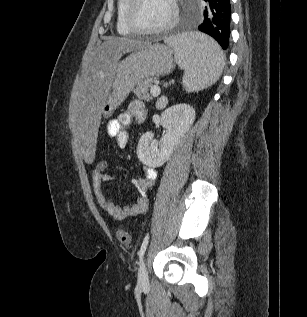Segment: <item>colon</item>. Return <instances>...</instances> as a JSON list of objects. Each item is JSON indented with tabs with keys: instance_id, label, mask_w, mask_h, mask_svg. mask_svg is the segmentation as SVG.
Returning <instances> with one entry per match:
<instances>
[{
	"instance_id": "colon-1",
	"label": "colon",
	"mask_w": 307,
	"mask_h": 317,
	"mask_svg": "<svg viewBox=\"0 0 307 317\" xmlns=\"http://www.w3.org/2000/svg\"><path fill=\"white\" fill-rule=\"evenodd\" d=\"M106 169H107L106 160L99 158L95 161V167H94L95 171L102 173V172H105ZM117 238L124 245H128L131 242L130 234L124 230L117 231Z\"/></svg>"
}]
</instances>
